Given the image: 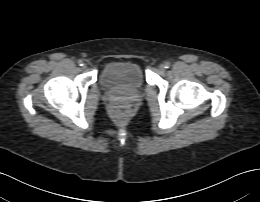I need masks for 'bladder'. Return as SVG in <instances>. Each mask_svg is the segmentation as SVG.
<instances>
[{"mask_svg":"<svg viewBox=\"0 0 260 202\" xmlns=\"http://www.w3.org/2000/svg\"><path fill=\"white\" fill-rule=\"evenodd\" d=\"M99 84L106 89L140 92L146 84L142 68L135 62L115 61L100 72Z\"/></svg>","mask_w":260,"mask_h":202,"instance_id":"1","label":"bladder"}]
</instances>
